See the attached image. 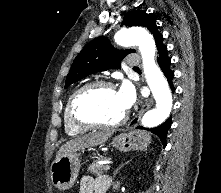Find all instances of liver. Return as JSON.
<instances>
[{
	"instance_id": "liver-1",
	"label": "liver",
	"mask_w": 221,
	"mask_h": 193,
	"mask_svg": "<svg viewBox=\"0 0 221 193\" xmlns=\"http://www.w3.org/2000/svg\"><path fill=\"white\" fill-rule=\"evenodd\" d=\"M112 135L110 131L92 132L87 135L71 139L63 144L56 154V159L69 153H74L85 148L104 144Z\"/></svg>"
}]
</instances>
